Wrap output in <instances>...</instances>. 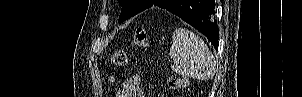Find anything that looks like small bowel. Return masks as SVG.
I'll use <instances>...</instances> for the list:
<instances>
[{
  "mask_svg": "<svg viewBox=\"0 0 302 97\" xmlns=\"http://www.w3.org/2000/svg\"><path fill=\"white\" fill-rule=\"evenodd\" d=\"M116 97H145V93L141 88V77L134 75L127 78L123 83L121 92Z\"/></svg>",
  "mask_w": 302,
  "mask_h": 97,
  "instance_id": "small-bowel-1",
  "label": "small bowel"
}]
</instances>
